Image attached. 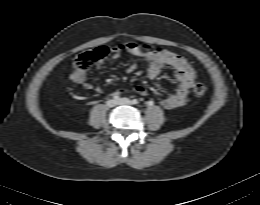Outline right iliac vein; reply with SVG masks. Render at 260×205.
Masks as SVG:
<instances>
[{
	"label": "right iliac vein",
	"instance_id": "1",
	"mask_svg": "<svg viewBox=\"0 0 260 205\" xmlns=\"http://www.w3.org/2000/svg\"><path fill=\"white\" fill-rule=\"evenodd\" d=\"M117 104H118V101L115 99H110L107 101V106L110 108L115 107Z\"/></svg>",
	"mask_w": 260,
	"mask_h": 205
}]
</instances>
